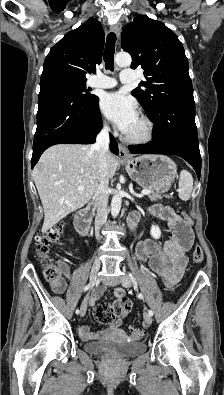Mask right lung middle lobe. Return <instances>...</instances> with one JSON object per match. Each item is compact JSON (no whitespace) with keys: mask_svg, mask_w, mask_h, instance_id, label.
Listing matches in <instances>:
<instances>
[{"mask_svg":"<svg viewBox=\"0 0 224 395\" xmlns=\"http://www.w3.org/2000/svg\"><path fill=\"white\" fill-rule=\"evenodd\" d=\"M40 85L56 86L81 100L91 101L95 98V95L88 93L85 79H79L63 72L53 71L43 74Z\"/></svg>","mask_w":224,"mask_h":395,"instance_id":"right-lung-middle-lobe-1","label":"right lung middle lobe"}]
</instances>
